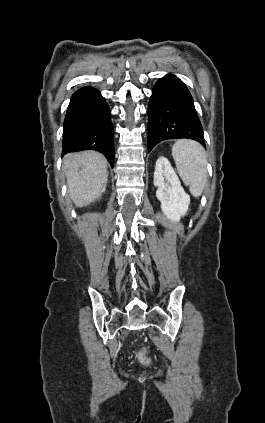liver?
Segmentation results:
<instances>
[{
	"mask_svg": "<svg viewBox=\"0 0 265 423\" xmlns=\"http://www.w3.org/2000/svg\"><path fill=\"white\" fill-rule=\"evenodd\" d=\"M68 193L77 207L94 202L106 190L107 160L99 152L69 153L63 159Z\"/></svg>",
	"mask_w": 265,
	"mask_h": 423,
	"instance_id": "1",
	"label": "liver"
}]
</instances>
